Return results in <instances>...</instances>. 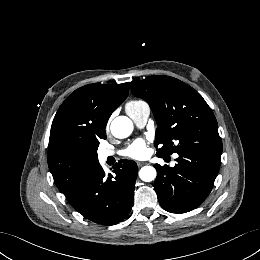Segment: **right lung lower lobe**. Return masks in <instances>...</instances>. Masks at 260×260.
Masks as SVG:
<instances>
[{"instance_id":"obj_1","label":"right lung lower lobe","mask_w":260,"mask_h":260,"mask_svg":"<svg viewBox=\"0 0 260 260\" xmlns=\"http://www.w3.org/2000/svg\"><path fill=\"white\" fill-rule=\"evenodd\" d=\"M115 176L105 174L101 165L87 176L66 196L69 203L87 219L112 225L123 220L134 202L137 164L120 160L114 165Z\"/></svg>"}]
</instances>
